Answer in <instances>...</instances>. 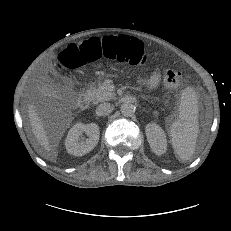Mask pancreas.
<instances>
[{
	"instance_id": "1",
	"label": "pancreas",
	"mask_w": 231,
	"mask_h": 231,
	"mask_svg": "<svg viewBox=\"0 0 231 231\" xmlns=\"http://www.w3.org/2000/svg\"><path fill=\"white\" fill-rule=\"evenodd\" d=\"M111 84V80H105L101 85L97 88H90L87 90V94L90 99L94 103L109 101L110 99H114L116 94L114 92L109 91V85Z\"/></svg>"
}]
</instances>
